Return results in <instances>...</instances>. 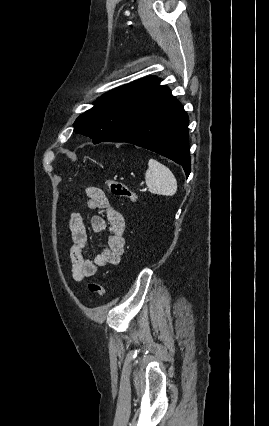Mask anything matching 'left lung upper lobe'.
Masks as SVG:
<instances>
[{"instance_id": "left-lung-upper-lobe-1", "label": "left lung upper lobe", "mask_w": 269, "mask_h": 426, "mask_svg": "<svg viewBox=\"0 0 269 426\" xmlns=\"http://www.w3.org/2000/svg\"><path fill=\"white\" fill-rule=\"evenodd\" d=\"M156 78V76L145 77L105 93L97 99L93 108L76 119L74 131L91 137L94 144L102 142L116 127L122 111L130 103L132 96Z\"/></svg>"}]
</instances>
